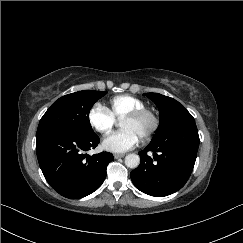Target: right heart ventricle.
I'll list each match as a JSON object with an SVG mask.
<instances>
[{"instance_id": "e07e8e85", "label": "right heart ventricle", "mask_w": 243, "mask_h": 243, "mask_svg": "<svg viewBox=\"0 0 243 243\" xmlns=\"http://www.w3.org/2000/svg\"><path fill=\"white\" fill-rule=\"evenodd\" d=\"M146 108L145 103L130 95H117L109 101V111L115 119H122L125 115Z\"/></svg>"}]
</instances>
